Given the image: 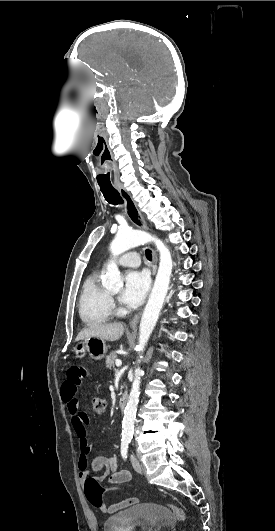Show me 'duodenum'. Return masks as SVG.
<instances>
[{
    "mask_svg": "<svg viewBox=\"0 0 275 531\" xmlns=\"http://www.w3.org/2000/svg\"><path fill=\"white\" fill-rule=\"evenodd\" d=\"M128 399H129V394L128 392H125L119 399V402H118V408L122 411L125 409V407L127 406V403H128Z\"/></svg>",
    "mask_w": 275,
    "mask_h": 531,
    "instance_id": "1",
    "label": "duodenum"
}]
</instances>
